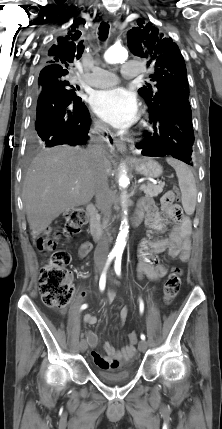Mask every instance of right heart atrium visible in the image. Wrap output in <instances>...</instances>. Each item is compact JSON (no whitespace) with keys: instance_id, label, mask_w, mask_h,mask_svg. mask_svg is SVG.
Wrapping results in <instances>:
<instances>
[{"instance_id":"1","label":"right heart atrium","mask_w":222,"mask_h":429,"mask_svg":"<svg viewBox=\"0 0 222 429\" xmlns=\"http://www.w3.org/2000/svg\"><path fill=\"white\" fill-rule=\"evenodd\" d=\"M93 127H94L95 129L101 130V129H103V128H104V125H103L100 121H98V120H94V121H93Z\"/></svg>"}]
</instances>
